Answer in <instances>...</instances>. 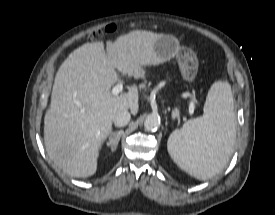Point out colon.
Here are the masks:
<instances>
[{"label":"colon","mask_w":275,"mask_h":215,"mask_svg":"<svg viewBox=\"0 0 275 215\" xmlns=\"http://www.w3.org/2000/svg\"><path fill=\"white\" fill-rule=\"evenodd\" d=\"M116 29L114 24L107 25L104 29H99L93 31L88 38L91 40H99L100 38L103 37L104 34L114 32Z\"/></svg>","instance_id":"obj_1"}]
</instances>
